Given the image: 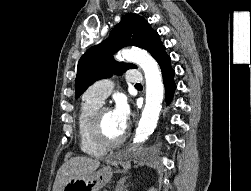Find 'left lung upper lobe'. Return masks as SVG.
<instances>
[{
    "mask_svg": "<svg viewBox=\"0 0 251 191\" xmlns=\"http://www.w3.org/2000/svg\"><path fill=\"white\" fill-rule=\"evenodd\" d=\"M126 46L146 49L155 59L165 51L159 34L143 17L132 13L122 16L121 22L111 31L109 38L89 48L80 58L75 81L76 98L93 82L136 68L133 64L119 63L113 59V54Z\"/></svg>",
    "mask_w": 251,
    "mask_h": 191,
    "instance_id": "1",
    "label": "left lung upper lobe"
}]
</instances>
